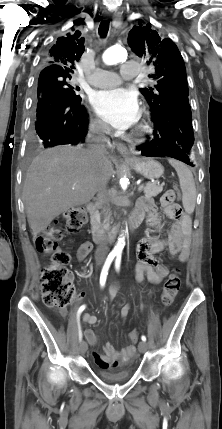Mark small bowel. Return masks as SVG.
<instances>
[{
  "label": "small bowel",
  "instance_id": "obj_1",
  "mask_svg": "<svg viewBox=\"0 0 222 429\" xmlns=\"http://www.w3.org/2000/svg\"><path fill=\"white\" fill-rule=\"evenodd\" d=\"M164 215L174 223L168 239L160 240L156 238L142 239L137 245L138 262L134 268L133 274L135 280L139 283L144 281L145 276L151 283H160L167 275L168 268L161 264L156 258V254L164 250H168L171 256H177L180 261H187L190 256L191 248V231L192 222L190 217L182 210L178 204L165 205L162 203ZM135 212L146 215V222L149 227L159 230L163 227V220L160 216L155 203L150 198H142L136 205ZM93 245L91 242H83L77 252L76 257L79 261H83L92 251ZM118 287L115 286L109 293V298L113 299L116 295ZM84 297V293L79 295V298ZM130 309L129 304H125L120 311L122 319H125ZM61 314L66 315L65 308L61 309ZM83 321L88 324H95L97 318L90 314L83 315ZM84 336L91 346L97 343V336L91 329L84 331ZM135 354L133 345H126L120 350H116L111 343H106L104 353L97 351L93 352V358L96 364L101 368L117 367L125 365Z\"/></svg>",
  "mask_w": 222,
  "mask_h": 429
}]
</instances>
